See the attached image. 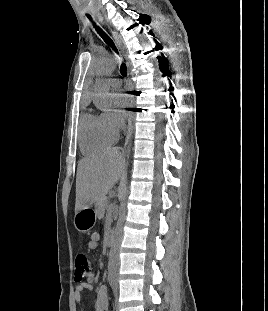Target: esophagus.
<instances>
[{"label":"esophagus","instance_id":"obj_1","mask_svg":"<svg viewBox=\"0 0 268 311\" xmlns=\"http://www.w3.org/2000/svg\"><path fill=\"white\" fill-rule=\"evenodd\" d=\"M114 38L117 41V43L119 45H121V41L118 38V36L114 34ZM123 52H124V48H123ZM127 67H128L127 75L129 76V62H127ZM131 93L134 96L137 95L138 92L136 90V86L135 85L131 86ZM132 122H133V114H131V116L128 119V129H127V135H126V139H125V147L129 144L131 136H132V132H133V124H132Z\"/></svg>","mask_w":268,"mask_h":311}]
</instances>
